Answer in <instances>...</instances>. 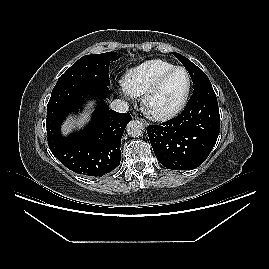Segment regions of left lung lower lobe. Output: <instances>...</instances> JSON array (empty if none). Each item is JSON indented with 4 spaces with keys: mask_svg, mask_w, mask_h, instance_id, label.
<instances>
[{
    "mask_svg": "<svg viewBox=\"0 0 269 269\" xmlns=\"http://www.w3.org/2000/svg\"><path fill=\"white\" fill-rule=\"evenodd\" d=\"M217 98L211 84L194 90L183 112L164 125H151L148 136L158 161L168 169L200 166L214 147L220 129Z\"/></svg>",
    "mask_w": 269,
    "mask_h": 269,
    "instance_id": "left-lung-lower-lobe-1",
    "label": "left lung lower lobe"
}]
</instances>
